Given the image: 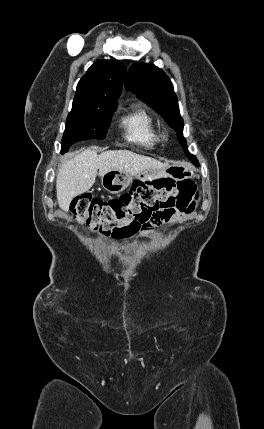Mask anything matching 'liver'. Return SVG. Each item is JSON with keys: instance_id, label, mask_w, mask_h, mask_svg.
<instances>
[{"instance_id": "1", "label": "liver", "mask_w": 264, "mask_h": 429, "mask_svg": "<svg viewBox=\"0 0 264 429\" xmlns=\"http://www.w3.org/2000/svg\"><path fill=\"white\" fill-rule=\"evenodd\" d=\"M168 163L127 150H110L97 154L87 149L67 158L59 167L56 192L59 207L67 212L73 198L87 192L95 183L97 171L102 177L111 170H120L138 176L149 170H162Z\"/></svg>"}]
</instances>
